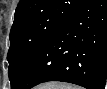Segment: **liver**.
Here are the masks:
<instances>
[{
  "mask_svg": "<svg viewBox=\"0 0 107 89\" xmlns=\"http://www.w3.org/2000/svg\"><path fill=\"white\" fill-rule=\"evenodd\" d=\"M56 85H59V83H48L45 85L38 86V89H56Z\"/></svg>",
  "mask_w": 107,
  "mask_h": 89,
  "instance_id": "6515ba94",
  "label": "liver"
}]
</instances>
